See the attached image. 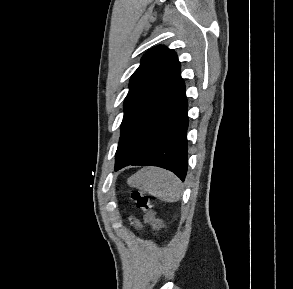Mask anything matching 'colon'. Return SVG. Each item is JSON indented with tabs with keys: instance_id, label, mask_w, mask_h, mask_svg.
<instances>
[{
	"instance_id": "colon-1",
	"label": "colon",
	"mask_w": 293,
	"mask_h": 289,
	"mask_svg": "<svg viewBox=\"0 0 293 289\" xmlns=\"http://www.w3.org/2000/svg\"><path fill=\"white\" fill-rule=\"evenodd\" d=\"M131 198L135 205L145 213V219L155 228L164 229V223L156 217L151 198L140 191H133Z\"/></svg>"
}]
</instances>
